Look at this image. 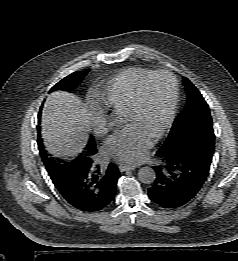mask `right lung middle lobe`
<instances>
[{"instance_id":"1","label":"right lung middle lobe","mask_w":238,"mask_h":261,"mask_svg":"<svg viewBox=\"0 0 238 261\" xmlns=\"http://www.w3.org/2000/svg\"><path fill=\"white\" fill-rule=\"evenodd\" d=\"M88 71H77L69 76L65 77L61 81H59L55 86L50 90L51 92L54 90H66L72 91L77 85L81 82V80L85 77ZM38 147L40 150V155L42 156V160L46 166L48 174L52 180H59L63 176H65L66 172L70 169L71 165L77 161H79L82 155H94L96 153V147L91 138L85 148L83 154L79 155L76 159L70 162H63L59 160H54L53 158H49L46 151L43 150L40 136H38Z\"/></svg>"}]
</instances>
